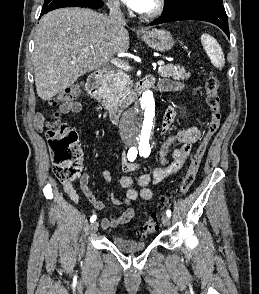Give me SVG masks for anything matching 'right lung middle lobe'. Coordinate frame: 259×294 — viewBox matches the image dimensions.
<instances>
[{
	"instance_id": "dd1d6c3e",
	"label": "right lung middle lobe",
	"mask_w": 259,
	"mask_h": 294,
	"mask_svg": "<svg viewBox=\"0 0 259 294\" xmlns=\"http://www.w3.org/2000/svg\"><path fill=\"white\" fill-rule=\"evenodd\" d=\"M96 1L98 0H45L42 7L41 14L47 13L48 11L52 10L53 8L59 5L68 4V5L83 7V6L91 5L95 3Z\"/></svg>"
}]
</instances>
